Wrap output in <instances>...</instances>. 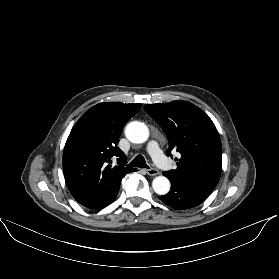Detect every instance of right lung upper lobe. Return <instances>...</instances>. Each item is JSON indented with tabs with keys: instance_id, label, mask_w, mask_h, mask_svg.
I'll list each match as a JSON object with an SVG mask.
<instances>
[{
	"instance_id": "cb5924a9",
	"label": "right lung upper lobe",
	"mask_w": 279,
	"mask_h": 279,
	"mask_svg": "<svg viewBox=\"0 0 279 279\" xmlns=\"http://www.w3.org/2000/svg\"><path fill=\"white\" fill-rule=\"evenodd\" d=\"M141 104L100 103L76 122L63 152V173L75 200L91 206L109 198L122 178L136 168L126 166V156L117 145L126 122ZM112 158L117 165H112Z\"/></svg>"
}]
</instances>
